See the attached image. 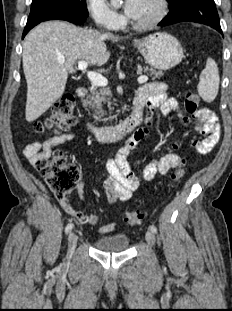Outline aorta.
<instances>
[{"instance_id": "762f6f07", "label": "aorta", "mask_w": 232, "mask_h": 311, "mask_svg": "<svg viewBox=\"0 0 232 311\" xmlns=\"http://www.w3.org/2000/svg\"><path fill=\"white\" fill-rule=\"evenodd\" d=\"M119 2H120V0H111V3H112L113 5L118 4Z\"/></svg>"}]
</instances>
